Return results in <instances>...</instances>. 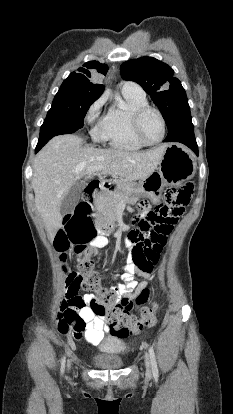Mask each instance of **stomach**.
<instances>
[{
	"mask_svg": "<svg viewBox=\"0 0 233 414\" xmlns=\"http://www.w3.org/2000/svg\"><path fill=\"white\" fill-rule=\"evenodd\" d=\"M194 170L195 163L191 154L171 144L166 146L159 168L147 173L144 181L140 184L118 183V189L128 202H135L142 197H149L154 201L155 195L163 194L162 186L165 183L179 185L191 178Z\"/></svg>",
	"mask_w": 233,
	"mask_h": 414,
	"instance_id": "stomach-1",
	"label": "stomach"
}]
</instances>
